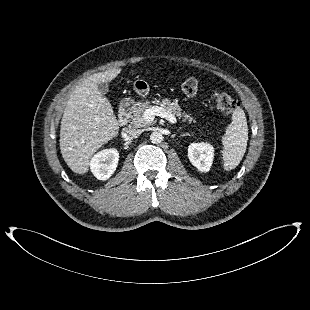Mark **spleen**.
I'll use <instances>...</instances> for the list:
<instances>
[{"mask_svg": "<svg viewBox=\"0 0 310 310\" xmlns=\"http://www.w3.org/2000/svg\"><path fill=\"white\" fill-rule=\"evenodd\" d=\"M247 141L246 116L241 108H236L232 114V122L222 137L224 170L229 171L238 166L245 154Z\"/></svg>", "mask_w": 310, "mask_h": 310, "instance_id": "obj_1", "label": "spleen"}]
</instances>
